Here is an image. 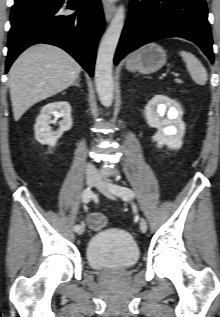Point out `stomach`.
I'll return each instance as SVG.
<instances>
[{"instance_id": "obj_1", "label": "stomach", "mask_w": 220, "mask_h": 317, "mask_svg": "<svg viewBox=\"0 0 220 317\" xmlns=\"http://www.w3.org/2000/svg\"><path fill=\"white\" fill-rule=\"evenodd\" d=\"M164 49L156 43H148L133 52L126 62L127 70L151 74L163 67L166 63Z\"/></svg>"}]
</instances>
